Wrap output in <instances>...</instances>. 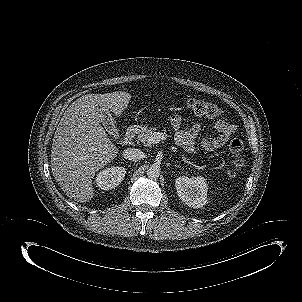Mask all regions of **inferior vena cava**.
<instances>
[{"label":"inferior vena cava","instance_id":"1","mask_svg":"<svg viewBox=\"0 0 302 302\" xmlns=\"http://www.w3.org/2000/svg\"><path fill=\"white\" fill-rule=\"evenodd\" d=\"M123 156L125 159L138 161L144 158V153L140 149L127 148L123 151Z\"/></svg>","mask_w":302,"mask_h":302}]
</instances>
